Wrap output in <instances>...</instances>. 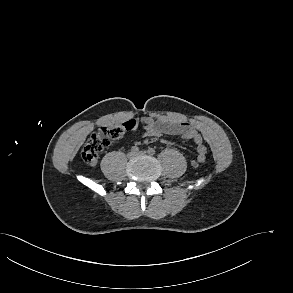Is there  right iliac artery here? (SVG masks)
I'll return each instance as SVG.
<instances>
[{
    "mask_svg": "<svg viewBox=\"0 0 293 293\" xmlns=\"http://www.w3.org/2000/svg\"><path fill=\"white\" fill-rule=\"evenodd\" d=\"M131 151L137 153V152L139 151V148H138L137 146H133V147L131 148Z\"/></svg>",
    "mask_w": 293,
    "mask_h": 293,
    "instance_id": "obj_1",
    "label": "right iliac artery"
}]
</instances>
